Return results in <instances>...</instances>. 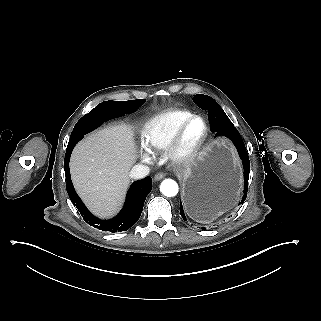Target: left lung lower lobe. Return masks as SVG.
<instances>
[{
    "label": "left lung lower lobe",
    "instance_id": "1",
    "mask_svg": "<svg viewBox=\"0 0 321 321\" xmlns=\"http://www.w3.org/2000/svg\"><path fill=\"white\" fill-rule=\"evenodd\" d=\"M207 111H208L209 123L211 125L212 132H215L216 136L223 135L228 137L230 140H232L243 162L244 195L241 202L239 203V204H242L245 201L247 196L248 179H249V173H250V162H249V157H248V153L246 151L244 142L241 138V135L239 134L237 129L234 127L233 123L229 120L228 116L225 114L222 108L209 107ZM180 213L182 218L186 221V217H185L181 202H180Z\"/></svg>",
    "mask_w": 321,
    "mask_h": 321
}]
</instances>
